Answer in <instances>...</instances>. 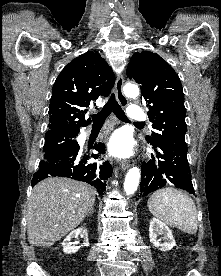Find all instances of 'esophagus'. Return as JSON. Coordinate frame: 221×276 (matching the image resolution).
<instances>
[{"label":"esophagus","mask_w":221,"mask_h":276,"mask_svg":"<svg viewBox=\"0 0 221 276\" xmlns=\"http://www.w3.org/2000/svg\"><path fill=\"white\" fill-rule=\"evenodd\" d=\"M123 85H124L123 75L119 74L117 76L116 83H115L116 97H117V100H118L119 104L122 107H126L127 104H128V100H127V98L125 97V95L123 93ZM119 164H120V167L123 170H126L131 166V161L130 160H121L119 162Z\"/></svg>","instance_id":"obj_1"}]
</instances>
